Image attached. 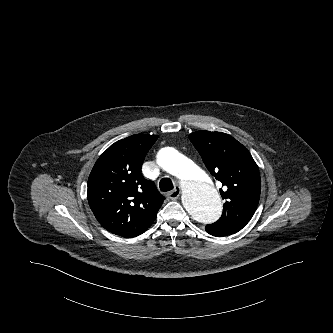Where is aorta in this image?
<instances>
[{
    "mask_svg": "<svg viewBox=\"0 0 333 333\" xmlns=\"http://www.w3.org/2000/svg\"><path fill=\"white\" fill-rule=\"evenodd\" d=\"M157 162L165 171L180 179L183 207L194 220L209 224L220 217L221 198L202 169L171 147L159 151Z\"/></svg>",
    "mask_w": 333,
    "mask_h": 333,
    "instance_id": "obj_1",
    "label": "aorta"
}]
</instances>
